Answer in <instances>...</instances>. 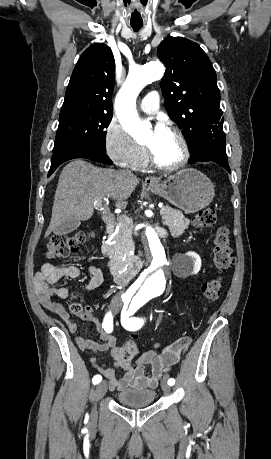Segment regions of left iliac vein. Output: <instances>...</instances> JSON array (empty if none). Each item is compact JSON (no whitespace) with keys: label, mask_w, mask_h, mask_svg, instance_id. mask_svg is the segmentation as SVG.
<instances>
[{"label":"left iliac vein","mask_w":271,"mask_h":459,"mask_svg":"<svg viewBox=\"0 0 271 459\" xmlns=\"http://www.w3.org/2000/svg\"><path fill=\"white\" fill-rule=\"evenodd\" d=\"M166 376H164L161 380V388L164 392H169L170 391V387H169V384H167L166 382Z\"/></svg>","instance_id":"1"}]
</instances>
